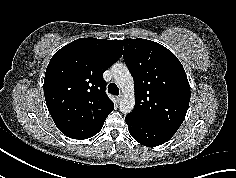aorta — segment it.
I'll list each match as a JSON object with an SVG mask.
<instances>
[{
  "label": "aorta",
  "mask_w": 236,
  "mask_h": 178,
  "mask_svg": "<svg viewBox=\"0 0 236 178\" xmlns=\"http://www.w3.org/2000/svg\"><path fill=\"white\" fill-rule=\"evenodd\" d=\"M112 73L117 86L122 90L119 108L124 114L130 113L135 106L134 80L126 65L116 63Z\"/></svg>",
  "instance_id": "aorta-1"
}]
</instances>
